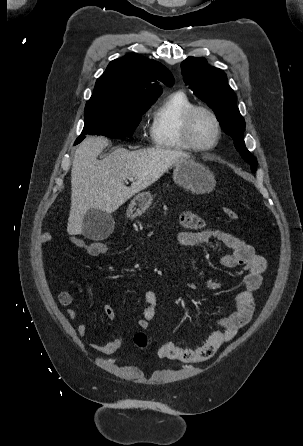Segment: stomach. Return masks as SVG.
<instances>
[{
	"label": "stomach",
	"mask_w": 303,
	"mask_h": 446,
	"mask_svg": "<svg viewBox=\"0 0 303 446\" xmlns=\"http://www.w3.org/2000/svg\"><path fill=\"white\" fill-rule=\"evenodd\" d=\"M173 179L179 186L196 194L211 192L216 183L211 171L192 159L175 164ZM152 200L153 196L149 191L139 193L131 201L127 216L135 218L142 215L150 207Z\"/></svg>",
	"instance_id": "obj_1"
}]
</instances>
